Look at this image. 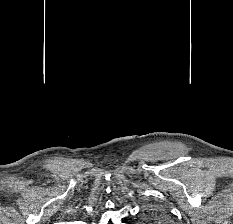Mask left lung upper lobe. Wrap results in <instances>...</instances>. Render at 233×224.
Here are the masks:
<instances>
[{
	"instance_id": "5c2ea615",
	"label": "left lung upper lobe",
	"mask_w": 233,
	"mask_h": 224,
	"mask_svg": "<svg viewBox=\"0 0 233 224\" xmlns=\"http://www.w3.org/2000/svg\"><path fill=\"white\" fill-rule=\"evenodd\" d=\"M145 221L151 224H166L169 222V217L165 210L160 207H147Z\"/></svg>"
}]
</instances>
